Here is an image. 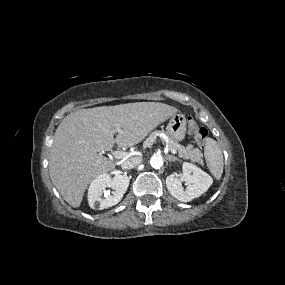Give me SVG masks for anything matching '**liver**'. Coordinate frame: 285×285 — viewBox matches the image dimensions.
Masks as SVG:
<instances>
[{
	"label": "liver",
	"instance_id": "1",
	"mask_svg": "<svg viewBox=\"0 0 285 285\" xmlns=\"http://www.w3.org/2000/svg\"><path fill=\"white\" fill-rule=\"evenodd\" d=\"M177 111L164 103L135 102L68 114L57 127L51 147L52 183L69 205L79 207L91 181L115 168L102 152L110 151L115 143L121 148L138 144ZM114 129L118 130L116 138Z\"/></svg>",
	"mask_w": 285,
	"mask_h": 285
}]
</instances>
